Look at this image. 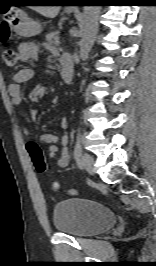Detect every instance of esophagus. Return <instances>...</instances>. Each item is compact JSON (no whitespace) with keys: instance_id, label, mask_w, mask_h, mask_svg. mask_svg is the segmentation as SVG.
<instances>
[{"instance_id":"1","label":"esophagus","mask_w":156,"mask_h":266,"mask_svg":"<svg viewBox=\"0 0 156 266\" xmlns=\"http://www.w3.org/2000/svg\"><path fill=\"white\" fill-rule=\"evenodd\" d=\"M72 9H77L76 7H73Z\"/></svg>"}]
</instances>
